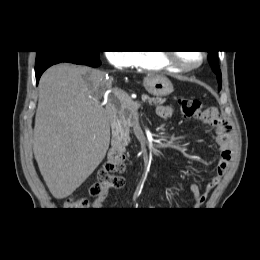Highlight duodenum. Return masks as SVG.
I'll list each match as a JSON object with an SVG mask.
<instances>
[{
    "mask_svg": "<svg viewBox=\"0 0 260 260\" xmlns=\"http://www.w3.org/2000/svg\"><path fill=\"white\" fill-rule=\"evenodd\" d=\"M106 111L110 121L113 123L116 117V110L113 106L108 105L106 107ZM112 150L117 153H124L123 146L120 144L119 140L115 136L112 139Z\"/></svg>",
    "mask_w": 260,
    "mask_h": 260,
    "instance_id": "410a0bca",
    "label": "duodenum"
}]
</instances>
